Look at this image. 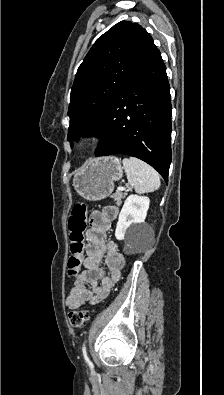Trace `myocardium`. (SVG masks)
<instances>
[{"instance_id":"obj_1","label":"myocardium","mask_w":224,"mask_h":395,"mask_svg":"<svg viewBox=\"0 0 224 395\" xmlns=\"http://www.w3.org/2000/svg\"><path fill=\"white\" fill-rule=\"evenodd\" d=\"M91 142L92 140L89 137H84L80 139L77 146V152L80 155H83L89 149Z\"/></svg>"}]
</instances>
